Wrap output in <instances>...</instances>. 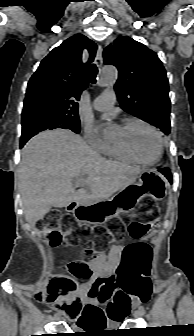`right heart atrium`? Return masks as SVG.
Wrapping results in <instances>:
<instances>
[{
    "instance_id": "right-heart-atrium-1",
    "label": "right heart atrium",
    "mask_w": 194,
    "mask_h": 336,
    "mask_svg": "<svg viewBox=\"0 0 194 336\" xmlns=\"http://www.w3.org/2000/svg\"><path fill=\"white\" fill-rule=\"evenodd\" d=\"M84 138L90 148L95 152L103 153L108 144L99 137L91 126L84 127Z\"/></svg>"
}]
</instances>
